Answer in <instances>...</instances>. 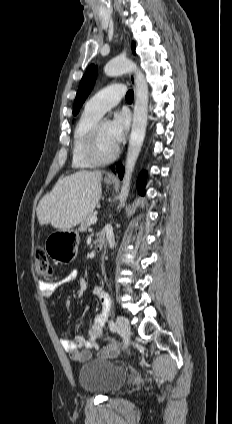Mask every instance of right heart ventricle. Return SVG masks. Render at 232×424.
Returning a JSON list of instances; mask_svg holds the SVG:
<instances>
[{
    "label": "right heart ventricle",
    "instance_id": "obj_1",
    "mask_svg": "<svg viewBox=\"0 0 232 424\" xmlns=\"http://www.w3.org/2000/svg\"><path fill=\"white\" fill-rule=\"evenodd\" d=\"M98 113L85 107L73 132L71 163L75 169H86L95 166L85 156L84 147L93 125L100 119Z\"/></svg>",
    "mask_w": 232,
    "mask_h": 424
}]
</instances>
